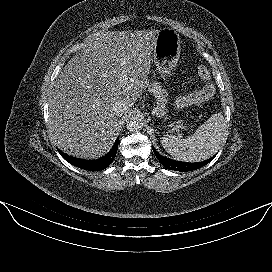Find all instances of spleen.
<instances>
[{"instance_id": "3e777b00", "label": "spleen", "mask_w": 272, "mask_h": 272, "mask_svg": "<svg viewBox=\"0 0 272 272\" xmlns=\"http://www.w3.org/2000/svg\"><path fill=\"white\" fill-rule=\"evenodd\" d=\"M226 124L221 113L213 114L194 134L187 138L165 135L163 148L175 159L185 162H200L215 154L224 137Z\"/></svg>"}]
</instances>
